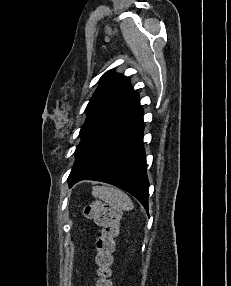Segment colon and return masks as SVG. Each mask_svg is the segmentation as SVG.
I'll return each mask as SVG.
<instances>
[{
	"mask_svg": "<svg viewBox=\"0 0 231 286\" xmlns=\"http://www.w3.org/2000/svg\"><path fill=\"white\" fill-rule=\"evenodd\" d=\"M85 216L101 227V234L96 240V263L98 280L96 286H112L111 265L115 238L119 230L120 210L109 203L96 201L85 207Z\"/></svg>",
	"mask_w": 231,
	"mask_h": 286,
	"instance_id": "colon-1",
	"label": "colon"
}]
</instances>
